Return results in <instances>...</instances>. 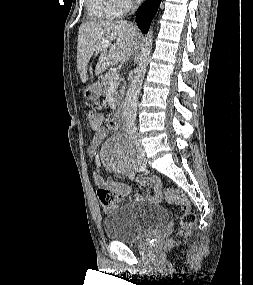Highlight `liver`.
<instances>
[{"label": "liver", "mask_w": 253, "mask_h": 285, "mask_svg": "<svg viewBox=\"0 0 253 285\" xmlns=\"http://www.w3.org/2000/svg\"><path fill=\"white\" fill-rule=\"evenodd\" d=\"M139 32L126 21H89L79 27L77 69L83 83L88 81V65L101 52L94 69L99 75L117 62L127 61L138 46ZM102 45L108 48L98 50ZM93 77V72H90Z\"/></svg>", "instance_id": "1"}]
</instances>
